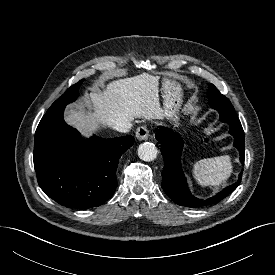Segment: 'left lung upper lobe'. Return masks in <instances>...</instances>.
<instances>
[{
    "mask_svg": "<svg viewBox=\"0 0 275 275\" xmlns=\"http://www.w3.org/2000/svg\"><path fill=\"white\" fill-rule=\"evenodd\" d=\"M208 101L212 108L219 111L222 122H240L231 102L213 84L208 89Z\"/></svg>",
    "mask_w": 275,
    "mask_h": 275,
    "instance_id": "obj_1",
    "label": "left lung upper lobe"
}]
</instances>
